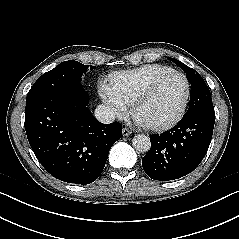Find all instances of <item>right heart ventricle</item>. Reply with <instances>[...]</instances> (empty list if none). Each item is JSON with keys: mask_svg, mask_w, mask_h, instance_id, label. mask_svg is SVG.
<instances>
[{"mask_svg": "<svg viewBox=\"0 0 239 239\" xmlns=\"http://www.w3.org/2000/svg\"><path fill=\"white\" fill-rule=\"evenodd\" d=\"M172 70L159 64H149L137 69L118 72L110 77V84L120 99L131 105L140 91L157 76Z\"/></svg>", "mask_w": 239, "mask_h": 239, "instance_id": "obj_1", "label": "right heart ventricle"}]
</instances>
